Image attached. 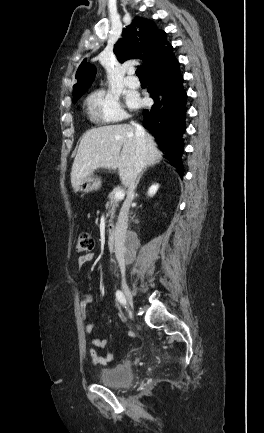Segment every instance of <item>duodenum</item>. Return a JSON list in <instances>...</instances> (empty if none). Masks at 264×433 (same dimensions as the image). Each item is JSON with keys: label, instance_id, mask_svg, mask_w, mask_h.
<instances>
[{"label": "duodenum", "instance_id": "1", "mask_svg": "<svg viewBox=\"0 0 264 433\" xmlns=\"http://www.w3.org/2000/svg\"><path fill=\"white\" fill-rule=\"evenodd\" d=\"M116 236L117 229L115 227H109L107 232V244L109 248L113 251L116 250Z\"/></svg>", "mask_w": 264, "mask_h": 433}]
</instances>
